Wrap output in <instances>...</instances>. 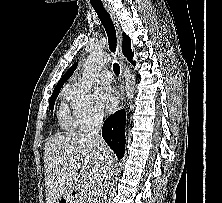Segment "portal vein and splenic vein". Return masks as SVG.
Returning a JSON list of instances; mask_svg holds the SVG:
<instances>
[{
    "label": "portal vein and splenic vein",
    "mask_w": 222,
    "mask_h": 203,
    "mask_svg": "<svg viewBox=\"0 0 222 203\" xmlns=\"http://www.w3.org/2000/svg\"><path fill=\"white\" fill-rule=\"evenodd\" d=\"M78 168H80V167H78ZM82 187H83L84 190L88 191V190H90L92 188V184L90 182L84 181L82 183Z\"/></svg>",
    "instance_id": "1"
}]
</instances>
